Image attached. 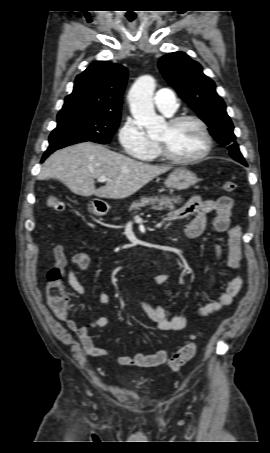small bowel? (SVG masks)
Returning <instances> with one entry per match:
<instances>
[{"label":"small bowel","mask_w":270,"mask_h":453,"mask_svg":"<svg viewBox=\"0 0 270 453\" xmlns=\"http://www.w3.org/2000/svg\"><path fill=\"white\" fill-rule=\"evenodd\" d=\"M233 199L228 196H222L217 200H202L194 196L179 210L167 214L164 218L166 222L185 219L191 216L190 221L185 226V234L190 239H196L204 232L206 227L207 214L214 213L213 227L216 233H227L226 251L227 262L226 267L235 271L231 281L228 283L225 291L217 298V300L209 302L200 307L193 316L187 312L175 313L172 316H167L164 308L160 304L151 305L145 299H142V307L157 324L161 331H179L186 328L192 318H204L217 311L222 307L230 305L233 298L238 294L243 285V278L240 270L243 266L242 253V230L239 225H235L231 221ZM216 258L221 259L223 249L221 245L215 246ZM54 266L58 268L61 275L67 280L70 287L81 296H88L84 285L80 282L76 275V270L85 272L90 265V257L85 252H77L73 255L71 263L68 267V261L65 256V248L63 245H55L53 247ZM171 278L169 272H162L153 277L155 284H164ZM216 278H211L206 286L212 287ZM94 303L98 305H108L110 297L107 293L102 292L92 298ZM65 322L67 327L75 332L81 342L84 351L93 357H100L107 354V349L94 344L93 339L89 334V329L92 327L102 328L109 324V317L104 315L92 321L88 326H80L78 323L67 315L58 316ZM168 351L160 350L152 354L134 353L132 355H120L118 363L124 366L138 367H155L162 365L168 360Z\"/></svg>","instance_id":"small-bowel-1"}]
</instances>
